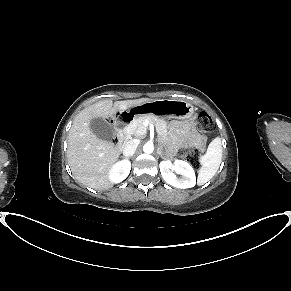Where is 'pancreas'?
I'll return each instance as SVG.
<instances>
[{"label":"pancreas","instance_id":"1","mask_svg":"<svg viewBox=\"0 0 291 291\" xmlns=\"http://www.w3.org/2000/svg\"><path fill=\"white\" fill-rule=\"evenodd\" d=\"M146 121L156 125L162 139L165 138L167 135V122L153 115L139 116L125 128L124 133L134 135L137 138H143L147 129L144 124Z\"/></svg>","mask_w":291,"mask_h":291}]
</instances>
